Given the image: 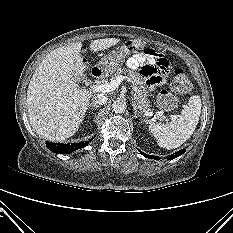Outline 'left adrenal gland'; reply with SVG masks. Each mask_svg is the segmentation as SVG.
Listing matches in <instances>:
<instances>
[{
    "label": "left adrenal gland",
    "instance_id": "a2214340",
    "mask_svg": "<svg viewBox=\"0 0 233 233\" xmlns=\"http://www.w3.org/2000/svg\"><path fill=\"white\" fill-rule=\"evenodd\" d=\"M132 106H133V110H134V117L135 118H138V115H139V111H138V106L135 104V102L132 100Z\"/></svg>",
    "mask_w": 233,
    "mask_h": 233
}]
</instances>
